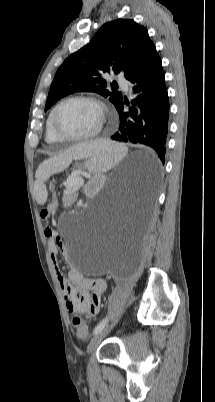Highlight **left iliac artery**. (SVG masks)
<instances>
[{"mask_svg":"<svg viewBox=\"0 0 215 402\" xmlns=\"http://www.w3.org/2000/svg\"><path fill=\"white\" fill-rule=\"evenodd\" d=\"M107 321H108V319H107V317H106V318H104V319L95 327L94 332H93L94 335H96L97 333H99L101 330L104 329V327H105Z\"/></svg>","mask_w":215,"mask_h":402,"instance_id":"obj_1","label":"left iliac artery"}]
</instances>
